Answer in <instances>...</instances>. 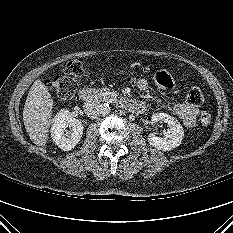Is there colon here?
Returning a JSON list of instances; mask_svg holds the SVG:
<instances>
[{
	"label": "colon",
	"instance_id": "obj_1",
	"mask_svg": "<svg viewBox=\"0 0 233 233\" xmlns=\"http://www.w3.org/2000/svg\"><path fill=\"white\" fill-rule=\"evenodd\" d=\"M83 74L84 65L82 60L72 59L66 64L64 73L52 79H48L46 85L59 98L68 100L75 95L79 85V79ZM203 101V94L198 88H192L186 95V103L193 107H199L202 105ZM210 122L211 115L208 112H202L200 115V123L203 126H207Z\"/></svg>",
	"mask_w": 233,
	"mask_h": 233
}]
</instances>
